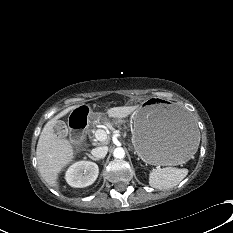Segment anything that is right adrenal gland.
Wrapping results in <instances>:
<instances>
[{"instance_id":"right-adrenal-gland-1","label":"right adrenal gland","mask_w":233,"mask_h":233,"mask_svg":"<svg viewBox=\"0 0 233 233\" xmlns=\"http://www.w3.org/2000/svg\"><path fill=\"white\" fill-rule=\"evenodd\" d=\"M88 157L91 158L93 161H99L98 158H95V157L91 156L90 154L88 155Z\"/></svg>"}]
</instances>
